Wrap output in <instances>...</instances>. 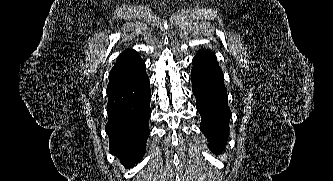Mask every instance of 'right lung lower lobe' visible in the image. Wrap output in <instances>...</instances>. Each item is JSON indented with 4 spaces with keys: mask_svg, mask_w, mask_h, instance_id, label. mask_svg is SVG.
Returning <instances> with one entry per match:
<instances>
[{
    "mask_svg": "<svg viewBox=\"0 0 333 181\" xmlns=\"http://www.w3.org/2000/svg\"><path fill=\"white\" fill-rule=\"evenodd\" d=\"M108 122L106 133L110 138V152L121 158L130 168L145 154L149 136L151 91L146 72L136 80L107 92Z\"/></svg>",
    "mask_w": 333,
    "mask_h": 181,
    "instance_id": "98d812e1",
    "label": "right lung lower lobe"
}]
</instances>
